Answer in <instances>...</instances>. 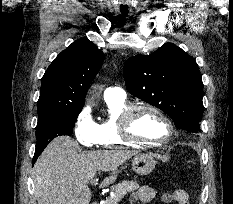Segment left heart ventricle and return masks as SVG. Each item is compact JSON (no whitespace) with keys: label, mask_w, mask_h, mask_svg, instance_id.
I'll return each instance as SVG.
<instances>
[{"label":"left heart ventricle","mask_w":233,"mask_h":204,"mask_svg":"<svg viewBox=\"0 0 233 204\" xmlns=\"http://www.w3.org/2000/svg\"><path fill=\"white\" fill-rule=\"evenodd\" d=\"M132 132L137 137L158 141L166 138L168 135V127L155 113L142 110L134 117Z\"/></svg>","instance_id":"left-heart-ventricle-1"}]
</instances>
